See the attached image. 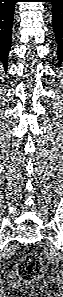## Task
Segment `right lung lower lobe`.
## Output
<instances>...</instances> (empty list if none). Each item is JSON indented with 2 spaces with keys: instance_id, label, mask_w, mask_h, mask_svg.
<instances>
[{
  "instance_id": "98d812e1",
  "label": "right lung lower lobe",
  "mask_w": 63,
  "mask_h": 297,
  "mask_svg": "<svg viewBox=\"0 0 63 297\" xmlns=\"http://www.w3.org/2000/svg\"><path fill=\"white\" fill-rule=\"evenodd\" d=\"M16 0H0V63L8 66L11 47L12 22Z\"/></svg>"
}]
</instances>
